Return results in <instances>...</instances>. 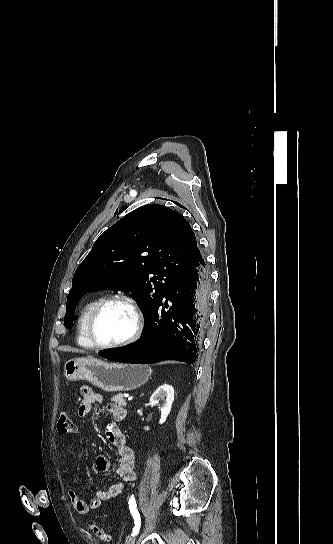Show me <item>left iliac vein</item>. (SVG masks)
Returning a JSON list of instances; mask_svg holds the SVG:
<instances>
[{"instance_id":"4c4485c4","label":"left iliac vein","mask_w":333,"mask_h":544,"mask_svg":"<svg viewBox=\"0 0 333 544\" xmlns=\"http://www.w3.org/2000/svg\"><path fill=\"white\" fill-rule=\"evenodd\" d=\"M135 539H136V535L135 536H130L126 539V542L125 544H135Z\"/></svg>"}]
</instances>
